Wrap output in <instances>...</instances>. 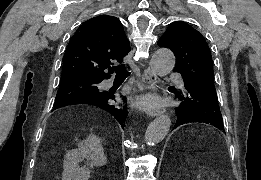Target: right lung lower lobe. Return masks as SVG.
I'll list each match as a JSON object with an SVG mask.
<instances>
[{
  "label": "right lung lower lobe",
  "instance_id": "right-lung-lower-lobe-1",
  "mask_svg": "<svg viewBox=\"0 0 261 180\" xmlns=\"http://www.w3.org/2000/svg\"><path fill=\"white\" fill-rule=\"evenodd\" d=\"M115 99L114 95L109 92H101L94 96H87V95H76L69 97L58 104H55L54 109H57L62 106H66L69 104H90L96 105L114 116V118L120 123L122 128L125 125V120L128 115L127 110L118 108L112 104V101ZM125 101V98H123Z\"/></svg>",
  "mask_w": 261,
  "mask_h": 180
}]
</instances>
